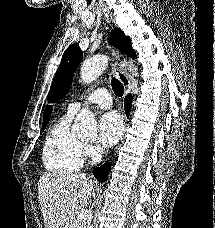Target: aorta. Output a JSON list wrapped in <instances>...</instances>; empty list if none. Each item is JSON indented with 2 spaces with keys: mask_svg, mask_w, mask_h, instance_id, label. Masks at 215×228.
Masks as SVG:
<instances>
[{
  "mask_svg": "<svg viewBox=\"0 0 215 228\" xmlns=\"http://www.w3.org/2000/svg\"><path fill=\"white\" fill-rule=\"evenodd\" d=\"M107 56H101V58H92V60H85L81 66V78L83 82H94L96 78L101 76L103 70H105ZM74 134H95L96 126L94 122V116L90 110H81L78 114L72 128Z\"/></svg>",
  "mask_w": 215,
  "mask_h": 228,
  "instance_id": "762f6f07",
  "label": "aorta"
}]
</instances>
